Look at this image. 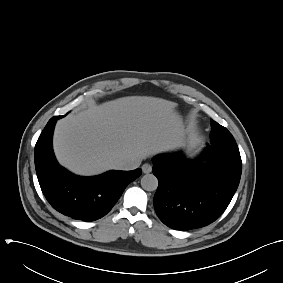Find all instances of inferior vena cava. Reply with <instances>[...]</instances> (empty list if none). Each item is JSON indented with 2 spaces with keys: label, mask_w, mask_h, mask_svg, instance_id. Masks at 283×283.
<instances>
[{
  "label": "inferior vena cava",
  "mask_w": 283,
  "mask_h": 283,
  "mask_svg": "<svg viewBox=\"0 0 283 283\" xmlns=\"http://www.w3.org/2000/svg\"><path fill=\"white\" fill-rule=\"evenodd\" d=\"M140 161H132L129 159H121L116 161L114 168L119 170H132L140 165Z\"/></svg>",
  "instance_id": "obj_1"
}]
</instances>
